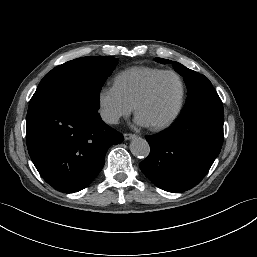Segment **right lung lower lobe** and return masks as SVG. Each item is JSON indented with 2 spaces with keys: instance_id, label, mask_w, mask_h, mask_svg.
<instances>
[{
  "instance_id": "1",
  "label": "right lung lower lobe",
  "mask_w": 257,
  "mask_h": 257,
  "mask_svg": "<svg viewBox=\"0 0 257 257\" xmlns=\"http://www.w3.org/2000/svg\"><path fill=\"white\" fill-rule=\"evenodd\" d=\"M26 140L42 178L58 191L73 193L92 182L108 148L121 143L123 136L83 99L58 96L29 104Z\"/></svg>"
}]
</instances>
